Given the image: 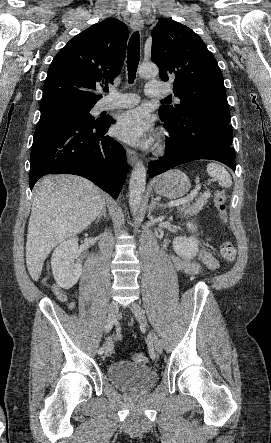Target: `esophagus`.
Instances as JSON below:
<instances>
[{"mask_svg":"<svg viewBox=\"0 0 271 443\" xmlns=\"http://www.w3.org/2000/svg\"><path fill=\"white\" fill-rule=\"evenodd\" d=\"M130 27L133 31H141L144 27V21L141 17V15H132L130 20ZM127 153V160L130 165H134V163L137 160V153L135 150H132L130 148L126 149Z\"/></svg>","mask_w":271,"mask_h":443,"instance_id":"1","label":"esophagus"}]
</instances>
